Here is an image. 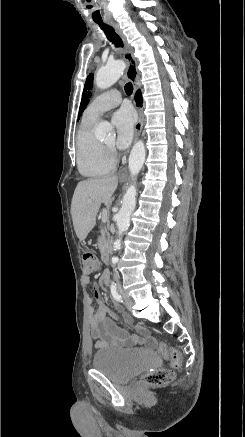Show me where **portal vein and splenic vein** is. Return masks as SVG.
I'll return each instance as SVG.
<instances>
[{
  "mask_svg": "<svg viewBox=\"0 0 245 437\" xmlns=\"http://www.w3.org/2000/svg\"><path fill=\"white\" fill-rule=\"evenodd\" d=\"M89 202H91V200H89ZM108 220V212L107 210H103L102 212V221L106 222Z\"/></svg>",
  "mask_w": 245,
  "mask_h": 437,
  "instance_id": "portal-vein-and-splenic-vein-1",
  "label": "portal vein and splenic vein"
}]
</instances>
